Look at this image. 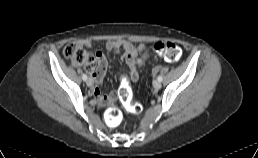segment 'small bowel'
Returning a JSON list of instances; mask_svg holds the SVG:
<instances>
[{"label": "small bowel", "mask_w": 258, "mask_h": 158, "mask_svg": "<svg viewBox=\"0 0 258 158\" xmlns=\"http://www.w3.org/2000/svg\"><path fill=\"white\" fill-rule=\"evenodd\" d=\"M78 45L90 47L92 45V42L90 40H81L78 42ZM105 48L108 51H115V52L122 53V59L127 64V66L131 71V74H130L131 80L133 82L137 81L139 78V73L136 68V61L142 53L147 52L149 50L147 45L139 44L138 46H135L134 44H132L127 40L115 39V40L107 41L105 44ZM95 58H96V65L91 68H88L92 76L91 79L94 84L92 94L102 106H105L113 103L114 101L113 94L102 96L99 89V85H101V83L103 82L105 73L107 71L108 61L105 55L99 51L96 52Z\"/></svg>", "instance_id": "1"}]
</instances>
